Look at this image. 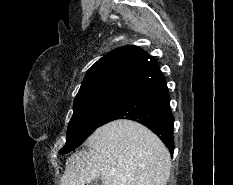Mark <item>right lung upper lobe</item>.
<instances>
[{
    "instance_id": "1",
    "label": "right lung upper lobe",
    "mask_w": 233,
    "mask_h": 185,
    "mask_svg": "<svg viewBox=\"0 0 233 185\" xmlns=\"http://www.w3.org/2000/svg\"><path fill=\"white\" fill-rule=\"evenodd\" d=\"M159 73L158 63L143 49L137 46L117 48L88 70L77 96L106 88L132 90Z\"/></svg>"
}]
</instances>
